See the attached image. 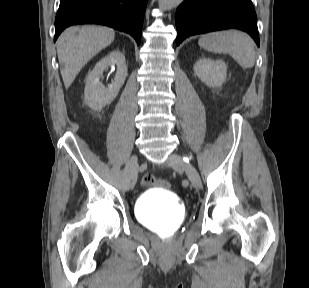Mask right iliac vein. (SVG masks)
Instances as JSON below:
<instances>
[{"mask_svg":"<svg viewBox=\"0 0 309 288\" xmlns=\"http://www.w3.org/2000/svg\"><path fill=\"white\" fill-rule=\"evenodd\" d=\"M137 168H138V157L136 155H133L128 160L125 169L123 171V179L127 188L131 186V182L136 176Z\"/></svg>","mask_w":309,"mask_h":288,"instance_id":"1","label":"right iliac vein"}]
</instances>
